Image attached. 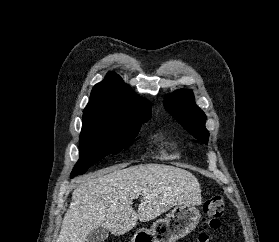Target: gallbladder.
Instances as JSON below:
<instances>
[{
	"mask_svg": "<svg viewBox=\"0 0 279 242\" xmlns=\"http://www.w3.org/2000/svg\"><path fill=\"white\" fill-rule=\"evenodd\" d=\"M109 236L107 229L99 227L93 230L86 238V242H104Z\"/></svg>",
	"mask_w": 279,
	"mask_h": 242,
	"instance_id": "1",
	"label": "gallbladder"
}]
</instances>
